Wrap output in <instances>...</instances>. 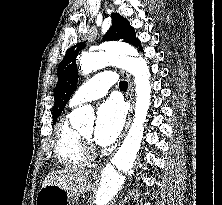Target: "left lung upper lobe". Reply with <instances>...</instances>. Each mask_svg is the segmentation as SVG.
Here are the masks:
<instances>
[{
    "instance_id": "5c2ea615",
    "label": "left lung upper lobe",
    "mask_w": 222,
    "mask_h": 205,
    "mask_svg": "<svg viewBox=\"0 0 222 205\" xmlns=\"http://www.w3.org/2000/svg\"><path fill=\"white\" fill-rule=\"evenodd\" d=\"M104 41L123 40L136 47L140 41L135 36V30L129 24V21L118 13L112 14V26L103 36ZM86 44L80 42L71 47L65 54L64 59L58 66V83L54 91L55 104L53 107V123L60 116L62 110L70 99L78 80V70L76 57L80 50L85 48Z\"/></svg>"
}]
</instances>
